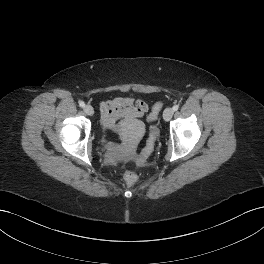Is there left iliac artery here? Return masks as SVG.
<instances>
[{
	"label": "left iliac artery",
	"instance_id": "1",
	"mask_svg": "<svg viewBox=\"0 0 264 264\" xmlns=\"http://www.w3.org/2000/svg\"><path fill=\"white\" fill-rule=\"evenodd\" d=\"M178 109H179V105H174V106H173V110H174V111H177Z\"/></svg>",
	"mask_w": 264,
	"mask_h": 264
}]
</instances>
